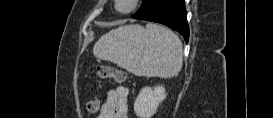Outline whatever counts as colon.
Listing matches in <instances>:
<instances>
[{
    "label": "colon",
    "mask_w": 273,
    "mask_h": 118,
    "mask_svg": "<svg viewBox=\"0 0 273 118\" xmlns=\"http://www.w3.org/2000/svg\"><path fill=\"white\" fill-rule=\"evenodd\" d=\"M97 76L101 79L112 78L118 83H123L126 80L124 71L105 64L96 67ZM100 109V101L98 99L90 100L87 103V110L90 113H96Z\"/></svg>",
    "instance_id": "obj_1"
}]
</instances>
